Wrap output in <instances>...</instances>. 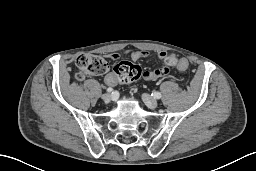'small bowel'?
Here are the masks:
<instances>
[{
    "instance_id": "obj_1",
    "label": "small bowel",
    "mask_w": 256,
    "mask_h": 171,
    "mask_svg": "<svg viewBox=\"0 0 256 171\" xmlns=\"http://www.w3.org/2000/svg\"><path fill=\"white\" fill-rule=\"evenodd\" d=\"M122 55H129L132 60L137 61L142 58L148 57L149 54L142 50H124L122 52L112 53L109 55L111 59H118ZM168 56L166 52H160L158 54V58L161 61H164L165 57ZM182 60L185 62V65L182 68H178L179 70H185L188 67V61L185 58H182ZM170 74V69L167 66H164L162 68H158L155 70H145L143 72V78L148 81H157L161 78L166 77ZM104 82L108 86H115L118 83L117 75L114 72L108 73L105 78Z\"/></svg>"
}]
</instances>
